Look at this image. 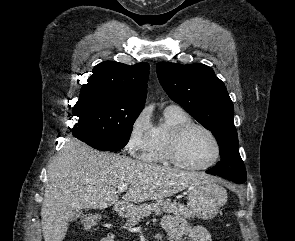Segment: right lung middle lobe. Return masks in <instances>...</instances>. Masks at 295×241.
<instances>
[{"label":"right lung middle lobe","mask_w":295,"mask_h":241,"mask_svg":"<svg viewBox=\"0 0 295 241\" xmlns=\"http://www.w3.org/2000/svg\"><path fill=\"white\" fill-rule=\"evenodd\" d=\"M143 106L93 91L79 98L73 107L74 137L98 150L117 151L129 141L133 124Z\"/></svg>","instance_id":"right-lung-middle-lobe-1"}]
</instances>
